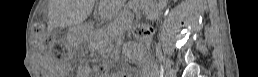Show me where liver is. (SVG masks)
<instances>
[{"label": "liver", "instance_id": "liver-1", "mask_svg": "<svg viewBox=\"0 0 258 77\" xmlns=\"http://www.w3.org/2000/svg\"><path fill=\"white\" fill-rule=\"evenodd\" d=\"M64 18L68 21V23H75V20H76L75 6L65 12Z\"/></svg>", "mask_w": 258, "mask_h": 77}]
</instances>
